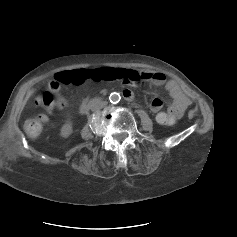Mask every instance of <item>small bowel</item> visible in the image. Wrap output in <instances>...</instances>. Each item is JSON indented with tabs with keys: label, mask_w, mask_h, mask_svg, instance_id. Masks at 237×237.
<instances>
[{
	"label": "small bowel",
	"mask_w": 237,
	"mask_h": 237,
	"mask_svg": "<svg viewBox=\"0 0 237 237\" xmlns=\"http://www.w3.org/2000/svg\"><path fill=\"white\" fill-rule=\"evenodd\" d=\"M143 80L152 82L155 85H162L165 83V75L160 72L143 70L140 71ZM166 89L169 92L170 99L166 100L163 97L157 96L150 103V110L153 113H159L164 104L168 105V113L174 118L178 119L183 116L190 102L188 98L180 90L179 86L172 80L166 82ZM64 104L66 103L63 100Z\"/></svg>",
	"instance_id": "small-bowel-1"
}]
</instances>
